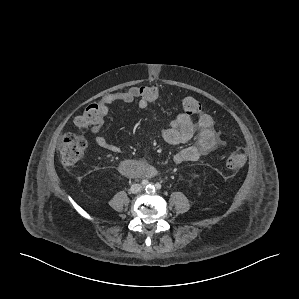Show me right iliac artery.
Masks as SVG:
<instances>
[{
	"label": "right iliac artery",
	"instance_id": "right-iliac-artery-1",
	"mask_svg": "<svg viewBox=\"0 0 299 299\" xmlns=\"http://www.w3.org/2000/svg\"><path fill=\"white\" fill-rule=\"evenodd\" d=\"M148 180H146V179H144V180H142V182H141V184L143 185V186H147L148 185Z\"/></svg>",
	"mask_w": 299,
	"mask_h": 299
}]
</instances>
